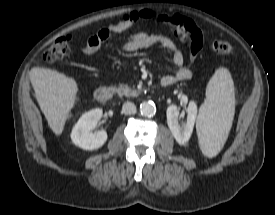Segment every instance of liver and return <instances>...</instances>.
<instances>
[{
  "label": "liver",
  "instance_id": "1",
  "mask_svg": "<svg viewBox=\"0 0 275 215\" xmlns=\"http://www.w3.org/2000/svg\"><path fill=\"white\" fill-rule=\"evenodd\" d=\"M29 76L49 127L56 135H61L69 112L75 106L76 81L56 70L40 67H33Z\"/></svg>",
  "mask_w": 275,
  "mask_h": 215
}]
</instances>
